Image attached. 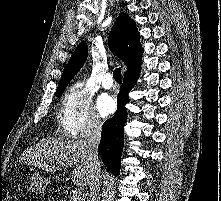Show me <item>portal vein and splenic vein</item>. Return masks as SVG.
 Wrapping results in <instances>:
<instances>
[{
    "label": "portal vein and splenic vein",
    "instance_id": "portal-vein-and-splenic-vein-1",
    "mask_svg": "<svg viewBox=\"0 0 221 201\" xmlns=\"http://www.w3.org/2000/svg\"><path fill=\"white\" fill-rule=\"evenodd\" d=\"M82 200V192H77L71 198V201H81Z\"/></svg>",
    "mask_w": 221,
    "mask_h": 201
}]
</instances>
